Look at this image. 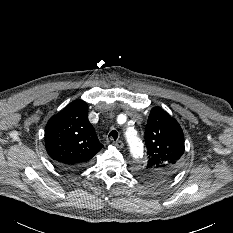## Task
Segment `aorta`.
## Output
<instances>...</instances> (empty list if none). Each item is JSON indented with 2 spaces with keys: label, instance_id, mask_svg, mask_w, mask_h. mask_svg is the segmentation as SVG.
I'll list each match as a JSON object with an SVG mask.
<instances>
[{
  "label": "aorta",
  "instance_id": "aorta-1",
  "mask_svg": "<svg viewBox=\"0 0 233 233\" xmlns=\"http://www.w3.org/2000/svg\"><path fill=\"white\" fill-rule=\"evenodd\" d=\"M126 138L129 143L131 154L134 158L138 159L143 155V144L137 137L136 131L128 128L126 131Z\"/></svg>",
  "mask_w": 233,
  "mask_h": 233
}]
</instances>
